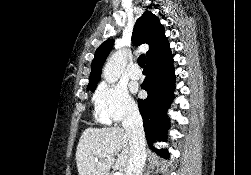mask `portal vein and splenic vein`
Returning <instances> with one entry per match:
<instances>
[{
  "mask_svg": "<svg viewBox=\"0 0 251 175\" xmlns=\"http://www.w3.org/2000/svg\"><path fill=\"white\" fill-rule=\"evenodd\" d=\"M107 157H111V155H107ZM95 161H98V157H95ZM113 175H123L122 169H118V171H114Z\"/></svg>",
  "mask_w": 251,
  "mask_h": 175,
  "instance_id": "obj_1",
  "label": "portal vein and splenic vein"
}]
</instances>
